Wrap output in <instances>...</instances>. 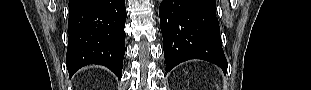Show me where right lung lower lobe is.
<instances>
[{
  "mask_svg": "<svg viewBox=\"0 0 311 90\" xmlns=\"http://www.w3.org/2000/svg\"><path fill=\"white\" fill-rule=\"evenodd\" d=\"M125 0H70L66 65L71 77L88 64L120 79L125 54Z\"/></svg>",
  "mask_w": 311,
  "mask_h": 90,
  "instance_id": "right-lung-lower-lobe-1",
  "label": "right lung lower lobe"
}]
</instances>
